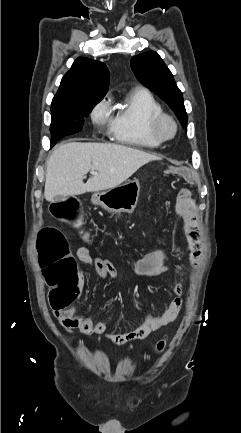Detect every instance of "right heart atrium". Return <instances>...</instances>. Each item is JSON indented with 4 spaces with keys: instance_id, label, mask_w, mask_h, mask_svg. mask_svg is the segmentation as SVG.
<instances>
[{
    "instance_id": "d8ad5b80",
    "label": "right heart atrium",
    "mask_w": 241,
    "mask_h": 433,
    "mask_svg": "<svg viewBox=\"0 0 241 433\" xmlns=\"http://www.w3.org/2000/svg\"><path fill=\"white\" fill-rule=\"evenodd\" d=\"M92 122L96 126H105L110 122V104L108 100H103L97 104L91 112Z\"/></svg>"
}]
</instances>
